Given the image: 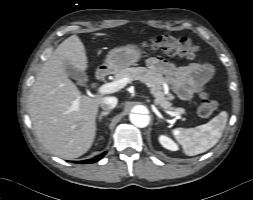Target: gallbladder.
I'll list each match as a JSON object with an SVG mask.
<instances>
[{"label": "gallbladder", "mask_w": 253, "mask_h": 200, "mask_svg": "<svg viewBox=\"0 0 253 200\" xmlns=\"http://www.w3.org/2000/svg\"><path fill=\"white\" fill-rule=\"evenodd\" d=\"M65 71H66V74L73 78V79H76L79 84H82L83 82L87 81L88 80V77L87 75L82 72V71H79L78 69L74 68L71 64H69L68 62H65Z\"/></svg>", "instance_id": "gallbladder-1"}]
</instances>
